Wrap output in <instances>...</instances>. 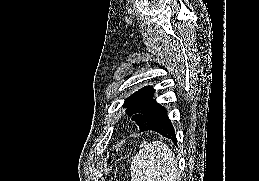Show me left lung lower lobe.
Returning a JSON list of instances; mask_svg holds the SVG:
<instances>
[{
  "label": "left lung lower lobe",
  "mask_w": 259,
  "mask_h": 181,
  "mask_svg": "<svg viewBox=\"0 0 259 181\" xmlns=\"http://www.w3.org/2000/svg\"><path fill=\"white\" fill-rule=\"evenodd\" d=\"M144 131H156L162 136L171 139L177 145L174 128L164 107L156 119Z\"/></svg>",
  "instance_id": "1"
}]
</instances>
